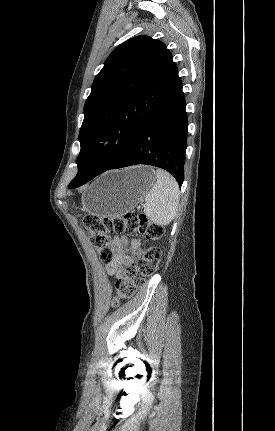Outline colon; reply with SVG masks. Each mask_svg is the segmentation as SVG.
<instances>
[{"instance_id":"5ec220e1","label":"colon","mask_w":275,"mask_h":431,"mask_svg":"<svg viewBox=\"0 0 275 431\" xmlns=\"http://www.w3.org/2000/svg\"><path fill=\"white\" fill-rule=\"evenodd\" d=\"M83 225L88 230L91 241L103 262L109 263L113 258L110 246L112 233H139L148 240H157L164 228L148 219L144 214L127 213L122 216L104 217L89 214L83 218ZM160 262V249L150 246L134 255L133 262L116 281V297L114 304L133 296L136 289L144 284L148 277L155 274Z\"/></svg>"}]
</instances>
